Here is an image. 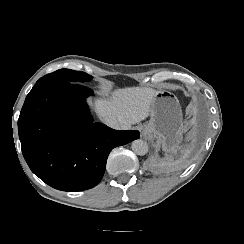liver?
I'll return each instance as SVG.
<instances>
[{
	"label": "liver",
	"mask_w": 244,
	"mask_h": 244,
	"mask_svg": "<svg viewBox=\"0 0 244 244\" xmlns=\"http://www.w3.org/2000/svg\"><path fill=\"white\" fill-rule=\"evenodd\" d=\"M155 90L146 87H128L117 89L110 100L97 99L95 112L100 118H115L120 123L131 125L146 119L154 101Z\"/></svg>",
	"instance_id": "liver-1"
}]
</instances>
